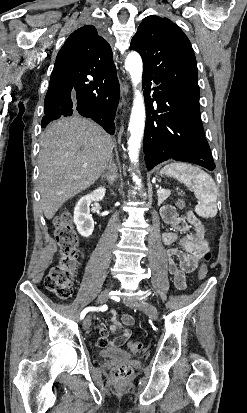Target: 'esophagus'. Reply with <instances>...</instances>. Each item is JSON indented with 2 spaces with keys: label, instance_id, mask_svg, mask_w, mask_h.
<instances>
[{
  "label": "esophagus",
  "instance_id": "34e87169",
  "mask_svg": "<svg viewBox=\"0 0 247 413\" xmlns=\"http://www.w3.org/2000/svg\"><path fill=\"white\" fill-rule=\"evenodd\" d=\"M123 91H124V93L127 92V85L126 84H123Z\"/></svg>",
  "mask_w": 247,
  "mask_h": 413
}]
</instances>
